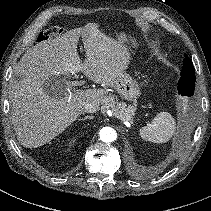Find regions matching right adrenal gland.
<instances>
[{"label":"right adrenal gland","mask_w":211,"mask_h":211,"mask_svg":"<svg viewBox=\"0 0 211 211\" xmlns=\"http://www.w3.org/2000/svg\"><path fill=\"white\" fill-rule=\"evenodd\" d=\"M86 119H93V116H85L84 118H81V119H78L79 121H83V120H86Z\"/></svg>","instance_id":"1"}]
</instances>
